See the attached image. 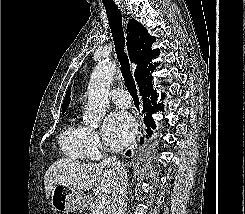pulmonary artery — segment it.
Returning <instances> with one entry per match:
<instances>
[{
	"label": "pulmonary artery",
	"instance_id": "1",
	"mask_svg": "<svg viewBox=\"0 0 245 214\" xmlns=\"http://www.w3.org/2000/svg\"><path fill=\"white\" fill-rule=\"evenodd\" d=\"M111 100L118 106L129 107L132 102L130 94L123 89H114L110 93Z\"/></svg>",
	"mask_w": 245,
	"mask_h": 214
}]
</instances>
